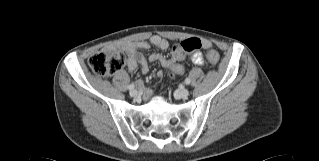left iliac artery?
Here are the masks:
<instances>
[{
    "mask_svg": "<svg viewBox=\"0 0 319 161\" xmlns=\"http://www.w3.org/2000/svg\"><path fill=\"white\" fill-rule=\"evenodd\" d=\"M190 82H191L190 78H186V79H185V84H186V85H189Z\"/></svg>",
    "mask_w": 319,
    "mask_h": 161,
    "instance_id": "obj_1",
    "label": "left iliac artery"
}]
</instances>
